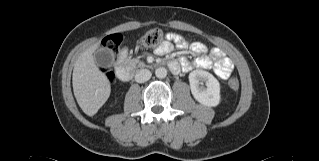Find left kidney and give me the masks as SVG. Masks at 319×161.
I'll list each match as a JSON object with an SVG mask.
<instances>
[{"mask_svg":"<svg viewBox=\"0 0 319 161\" xmlns=\"http://www.w3.org/2000/svg\"><path fill=\"white\" fill-rule=\"evenodd\" d=\"M193 97L205 106L215 107L220 102V84L209 72L194 70L189 74ZM205 83L206 87L201 86Z\"/></svg>","mask_w":319,"mask_h":161,"instance_id":"obj_1","label":"left kidney"}]
</instances>
